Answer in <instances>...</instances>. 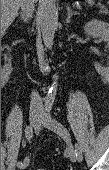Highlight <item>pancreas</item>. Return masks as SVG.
<instances>
[{
    "instance_id": "obj_1",
    "label": "pancreas",
    "mask_w": 109,
    "mask_h": 170,
    "mask_svg": "<svg viewBox=\"0 0 109 170\" xmlns=\"http://www.w3.org/2000/svg\"><path fill=\"white\" fill-rule=\"evenodd\" d=\"M100 12L103 13V14H108L109 10L105 6H102V7H100Z\"/></svg>"
}]
</instances>
